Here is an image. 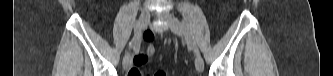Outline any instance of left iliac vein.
Here are the masks:
<instances>
[{"instance_id": "1", "label": "left iliac vein", "mask_w": 333, "mask_h": 76, "mask_svg": "<svg viewBox=\"0 0 333 76\" xmlns=\"http://www.w3.org/2000/svg\"><path fill=\"white\" fill-rule=\"evenodd\" d=\"M162 20L167 22L169 25L170 29L172 32L177 35L182 37L184 35V26L183 24L179 21L177 17H175L173 14L166 12L164 15H162ZM195 67L198 72H202L204 70V61L200 55L196 54L195 57Z\"/></svg>"}]
</instances>
